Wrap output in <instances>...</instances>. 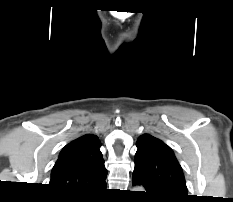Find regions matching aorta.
<instances>
[{"label":"aorta","mask_w":233,"mask_h":202,"mask_svg":"<svg viewBox=\"0 0 233 202\" xmlns=\"http://www.w3.org/2000/svg\"><path fill=\"white\" fill-rule=\"evenodd\" d=\"M135 189H136L135 191H141L143 188L142 187H136Z\"/></svg>","instance_id":"aorta-1"}]
</instances>
